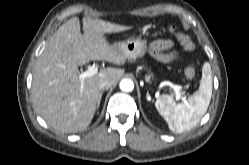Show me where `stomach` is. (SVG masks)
<instances>
[{
    "label": "stomach",
    "mask_w": 249,
    "mask_h": 165,
    "mask_svg": "<svg viewBox=\"0 0 249 165\" xmlns=\"http://www.w3.org/2000/svg\"><path fill=\"white\" fill-rule=\"evenodd\" d=\"M119 52L128 55L130 58H137L147 51V40L141 37L128 39L113 45Z\"/></svg>",
    "instance_id": "1"
}]
</instances>
